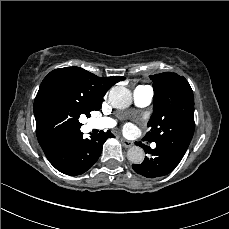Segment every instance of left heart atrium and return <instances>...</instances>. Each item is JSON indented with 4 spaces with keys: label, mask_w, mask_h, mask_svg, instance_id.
Here are the masks:
<instances>
[{
    "label": "left heart atrium",
    "mask_w": 229,
    "mask_h": 229,
    "mask_svg": "<svg viewBox=\"0 0 229 229\" xmlns=\"http://www.w3.org/2000/svg\"><path fill=\"white\" fill-rule=\"evenodd\" d=\"M124 129L126 131H132V130L135 129V126L133 124H131V123H127V124H125Z\"/></svg>",
    "instance_id": "1"
}]
</instances>
